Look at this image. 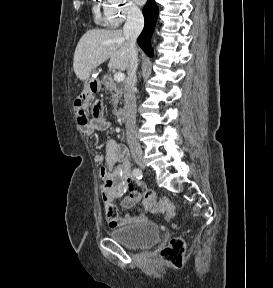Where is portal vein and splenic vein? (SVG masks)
Masks as SVG:
<instances>
[{
	"label": "portal vein and splenic vein",
	"instance_id": "18ae733b",
	"mask_svg": "<svg viewBox=\"0 0 273 288\" xmlns=\"http://www.w3.org/2000/svg\"><path fill=\"white\" fill-rule=\"evenodd\" d=\"M125 79V75L122 72H117L114 74V80L117 82H122Z\"/></svg>",
	"mask_w": 273,
	"mask_h": 288
}]
</instances>
